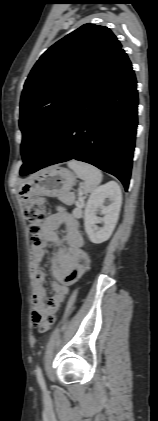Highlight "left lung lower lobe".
<instances>
[{
  "mask_svg": "<svg viewBox=\"0 0 158 421\" xmlns=\"http://www.w3.org/2000/svg\"><path fill=\"white\" fill-rule=\"evenodd\" d=\"M136 78L121 48L64 115L36 166L71 159L116 176L128 189L137 128Z\"/></svg>",
  "mask_w": 158,
  "mask_h": 421,
  "instance_id": "1",
  "label": "left lung lower lobe"
}]
</instances>
